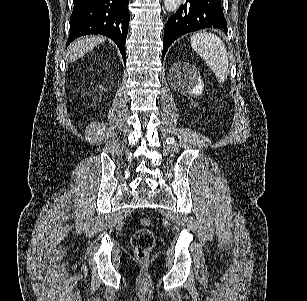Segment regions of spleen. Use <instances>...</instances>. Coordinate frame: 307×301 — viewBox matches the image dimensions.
Returning a JSON list of instances; mask_svg holds the SVG:
<instances>
[{
    "mask_svg": "<svg viewBox=\"0 0 307 301\" xmlns=\"http://www.w3.org/2000/svg\"><path fill=\"white\" fill-rule=\"evenodd\" d=\"M191 46L201 58L205 60L207 66L213 70L218 82L223 84L229 72V62L226 46L213 32H196L190 38Z\"/></svg>",
    "mask_w": 307,
    "mask_h": 301,
    "instance_id": "3e777b00",
    "label": "spleen"
}]
</instances>
